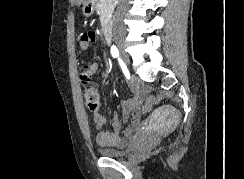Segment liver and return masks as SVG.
Returning <instances> with one entry per match:
<instances>
[{
    "label": "liver",
    "instance_id": "1",
    "mask_svg": "<svg viewBox=\"0 0 244 179\" xmlns=\"http://www.w3.org/2000/svg\"><path fill=\"white\" fill-rule=\"evenodd\" d=\"M82 2H84V0H75L76 6H79V4H82ZM86 2H87V0H86Z\"/></svg>",
    "mask_w": 244,
    "mask_h": 179
}]
</instances>
